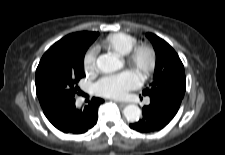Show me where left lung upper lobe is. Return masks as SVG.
Segmentation results:
<instances>
[{
    "mask_svg": "<svg viewBox=\"0 0 225 155\" xmlns=\"http://www.w3.org/2000/svg\"><path fill=\"white\" fill-rule=\"evenodd\" d=\"M156 52V66L151 87L143 91L150 98H183L186 91L184 66L175 50L163 39L147 33Z\"/></svg>",
    "mask_w": 225,
    "mask_h": 155,
    "instance_id": "1",
    "label": "left lung upper lobe"
}]
</instances>
